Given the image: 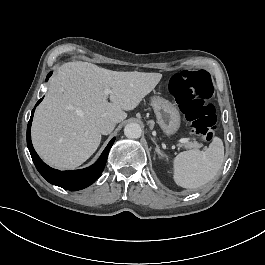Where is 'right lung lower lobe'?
<instances>
[{
  "instance_id": "1",
  "label": "right lung lower lobe",
  "mask_w": 265,
  "mask_h": 265,
  "mask_svg": "<svg viewBox=\"0 0 265 265\" xmlns=\"http://www.w3.org/2000/svg\"><path fill=\"white\" fill-rule=\"evenodd\" d=\"M52 72L47 75L46 80L51 76ZM41 98L37 103L36 106L42 101ZM35 109H33L31 113V117L27 126V146L30 151L32 160L39 171V173L51 184L62 187L67 190H81L83 188L88 187L92 183H94L97 178L101 175L106 161L108 157L109 150L112 144L115 141L113 138L103 153L101 154L100 158L93 164L92 166L81 169V170H73V171H59L53 169L46 165L37 155L35 152L32 142H31V122L33 119Z\"/></svg>"
}]
</instances>
